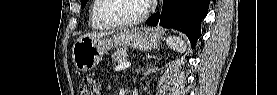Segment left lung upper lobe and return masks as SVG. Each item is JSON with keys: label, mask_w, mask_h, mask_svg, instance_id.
<instances>
[{"label": "left lung upper lobe", "mask_w": 277, "mask_h": 95, "mask_svg": "<svg viewBox=\"0 0 277 95\" xmlns=\"http://www.w3.org/2000/svg\"><path fill=\"white\" fill-rule=\"evenodd\" d=\"M88 0H81V8H84Z\"/></svg>", "instance_id": "5c2ea615"}]
</instances>
